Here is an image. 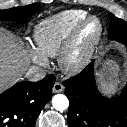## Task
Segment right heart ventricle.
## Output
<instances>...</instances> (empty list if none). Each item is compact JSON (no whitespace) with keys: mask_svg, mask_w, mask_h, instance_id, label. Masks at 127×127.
Returning <instances> with one entry per match:
<instances>
[{"mask_svg":"<svg viewBox=\"0 0 127 127\" xmlns=\"http://www.w3.org/2000/svg\"><path fill=\"white\" fill-rule=\"evenodd\" d=\"M86 17L83 10H66L41 20L33 33L37 50L45 57L59 55L71 32Z\"/></svg>","mask_w":127,"mask_h":127,"instance_id":"e07e8e85","label":"right heart ventricle"}]
</instances>
